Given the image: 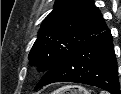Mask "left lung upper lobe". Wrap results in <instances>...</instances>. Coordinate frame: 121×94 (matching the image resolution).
Masks as SVG:
<instances>
[{"label": "left lung upper lobe", "instance_id": "5c2ea615", "mask_svg": "<svg viewBox=\"0 0 121 94\" xmlns=\"http://www.w3.org/2000/svg\"><path fill=\"white\" fill-rule=\"evenodd\" d=\"M107 29L93 0H57L42 22L30 54L38 71L50 70L76 48Z\"/></svg>", "mask_w": 121, "mask_h": 94}]
</instances>
